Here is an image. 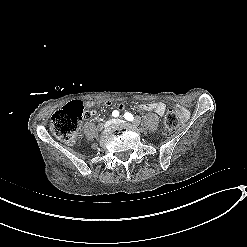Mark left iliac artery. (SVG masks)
Returning <instances> with one entry per match:
<instances>
[{"label": "left iliac artery", "mask_w": 247, "mask_h": 247, "mask_svg": "<svg viewBox=\"0 0 247 247\" xmlns=\"http://www.w3.org/2000/svg\"><path fill=\"white\" fill-rule=\"evenodd\" d=\"M124 118H125L126 120H128V121H133V120H134L133 115H132L131 113H128V112H126V113L124 114Z\"/></svg>", "instance_id": "obj_1"}]
</instances>
